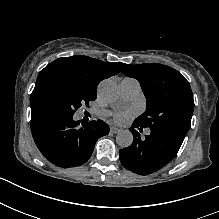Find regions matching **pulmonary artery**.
<instances>
[{
  "label": "pulmonary artery",
  "instance_id": "1",
  "mask_svg": "<svg viewBox=\"0 0 219 219\" xmlns=\"http://www.w3.org/2000/svg\"><path fill=\"white\" fill-rule=\"evenodd\" d=\"M121 96L126 101L136 99L140 93V84L132 78H124L120 83ZM149 134V131L147 132Z\"/></svg>",
  "mask_w": 219,
  "mask_h": 219
}]
</instances>
